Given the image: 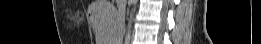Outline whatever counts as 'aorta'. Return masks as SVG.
I'll list each match as a JSON object with an SVG mask.
<instances>
[{"instance_id": "1", "label": "aorta", "mask_w": 261, "mask_h": 44, "mask_svg": "<svg viewBox=\"0 0 261 44\" xmlns=\"http://www.w3.org/2000/svg\"><path fill=\"white\" fill-rule=\"evenodd\" d=\"M131 3L133 5V8L130 12V17H129V21H128L127 32H126V36H125L126 41H129L131 38L132 21H133L134 13L136 10L137 0H131Z\"/></svg>"}]
</instances>
